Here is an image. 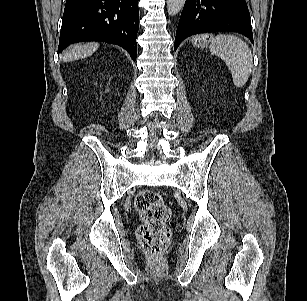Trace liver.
Wrapping results in <instances>:
<instances>
[{
	"mask_svg": "<svg viewBox=\"0 0 307 301\" xmlns=\"http://www.w3.org/2000/svg\"><path fill=\"white\" fill-rule=\"evenodd\" d=\"M99 47L98 43L76 44L68 47L62 54L64 62L86 58L92 55Z\"/></svg>",
	"mask_w": 307,
	"mask_h": 301,
	"instance_id": "liver-1",
	"label": "liver"
}]
</instances>
